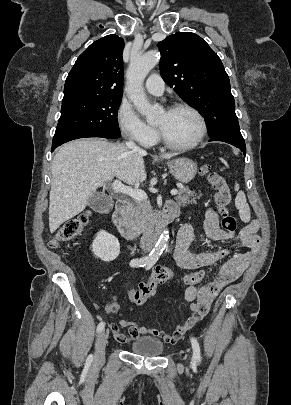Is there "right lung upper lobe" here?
I'll return each mask as SVG.
<instances>
[{
	"instance_id": "right-lung-upper-lobe-1",
	"label": "right lung upper lobe",
	"mask_w": 291,
	"mask_h": 405,
	"mask_svg": "<svg viewBox=\"0 0 291 405\" xmlns=\"http://www.w3.org/2000/svg\"><path fill=\"white\" fill-rule=\"evenodd\" d=\"M124 41L115 34L93 42L76 60L62 102L122 97Z\"/></svg>"
}]
</instances>
